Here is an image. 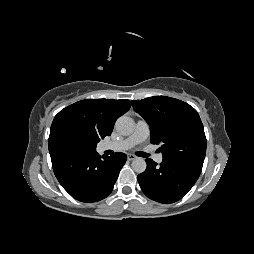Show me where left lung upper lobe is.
Wrapping results in <instances>:
<instances>
[{
  "mask_svg": "<svg viewBox=\"0 0 254 254\" xmlns=\"http://www.w3.org/2000/svg\"><path fill=\"white\" fill-rule=\"evenodd\" d=\"M132 106L149 124L151 143L161 145L163 161L203 166L206 137L192 106L166 96L133 100Z\"/></svg>",
  "mask_w": 254,
  "mask_h": 254,
  "instance_id": "1",
  "label": "left lung upper lobe"
}]
</instances>
